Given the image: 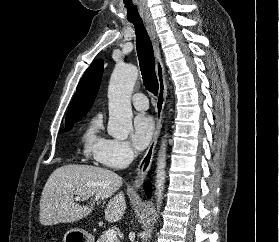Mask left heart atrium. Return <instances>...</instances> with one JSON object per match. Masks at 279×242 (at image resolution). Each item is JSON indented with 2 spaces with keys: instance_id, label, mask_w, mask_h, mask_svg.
<instances>
[{
  "instance_id": "1",
  "label": "left heart atrium",
  "mask_w": 279,
  "mask_h": 242,
  "mask_svg": "<svg viewBox=\"0 0 279 242\" xmlns=\"http://www.w3.org/2000/svg\"><path fill=\"white\" fill-rule=\"evenodd\" d=\"M155 131L152 117L145 113L138 114L133 121L131 140L137 150L145 149L150 143Z\"/></svg>"
}]
</instances>
